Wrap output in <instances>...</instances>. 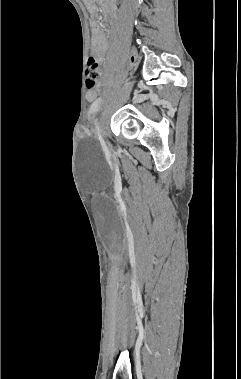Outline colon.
<instances>
[{
    "instance_id": "colon-1",
    "label": "colon",
    "mask_w": 241,
    "mask_h": 379,
    "mask_svg": "<svg viewBox=\"0 0 241 379\" xmlns=\"http://www.w3.org/2000/svg\"><path fill=\"white\" fill-rule=\"evenodd\" d=\"M95 28V27H94ZM93 28V32H94ZM138 62V47L130 46L129 53L127 54V64L135 65ZM100 77V66L96 59L89 58L87 62V86L93 88ZM98 94L104 93L103 87H98L96 89Z\"/></svg>"
}]
</instances>
